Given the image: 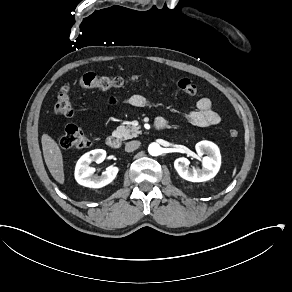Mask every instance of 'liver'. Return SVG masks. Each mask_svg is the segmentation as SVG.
Masks as SVG:
<instances>
[{"instance_id":"1","label":"liver","mask_w":292,"mask_h":292,"mask_svg":"<svg viewBox=\"0 0 292 292\" xmlns=\"http://www.w3.org/2000/svg\"><path fill=\"white\" fill-rule=\"evenodd\" d=\"M43 155L46 165L54 177L60 184L64 183L63 158L57 143L47 134H43L41 138Z\"/></svg>"}]
</instances>
